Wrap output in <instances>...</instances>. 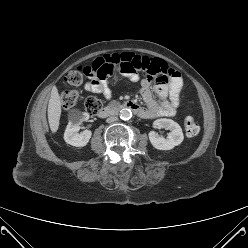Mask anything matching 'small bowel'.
I'll return each instance as SVG.
<instances>
[{
	"mask_svg": "<svg viewBox=\"0 0 248 248\" xmlns=\"http://www.w3.org/2000/svg\"><path fill=\"white\" fill-rule=\"evenodd\" d=\"M110 57L116 61L118 71L140 82V93L145 101V108L140 111L141 117H171L176 113L183 86L182 78L176 70L161 59L133 52L113 54ZM138 71L144 72L146 77L140 78ZM154 82L157 100L154 99L151 91V85ZM84 89L88 92L102 94L107 100L112 97V91L105 77L98 78L90 75Z\"/></svg>",
	"mask_w": 248,
	"mask_h": 248,
	"instance_id": "small-bowel-1",
	"label": "small bowel"
}]
</instances>
